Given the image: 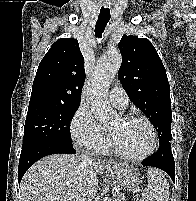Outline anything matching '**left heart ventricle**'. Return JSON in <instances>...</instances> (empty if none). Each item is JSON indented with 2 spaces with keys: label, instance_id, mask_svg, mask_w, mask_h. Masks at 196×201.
Masks as SVG:
<instances>
[{
  "label": "left heart ventricle",
  "instance_id": "obj_1",
  "mask_svg": "<svg viewBox=\"0 0 196 201\" xmlns=\"http://www.w3.org/2000/svg\"><path fill=\"white\" fill-rule=\"evenodd\" d=\"M109 131L128 154L140 155L151 145L150 129L141 121H123L118 118L111 124Z\"/></svg>",
  "mask_w": 196,
  "mask_h": 201
}]
</instances>
